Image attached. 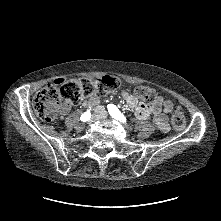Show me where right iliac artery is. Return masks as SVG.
Instances as JSON below:
<instances>
[{
	"label": "right iliac artery",
	"mask_w": 221,
	"mask_h": 221,
	"mask_svg": "<svg viewBox=\"0 0 221 221\" xmlns=\"http://www.w3.org/2000/svg\"><path fill=\"white\" fill-rule=\"evenodd\" d=\"M90 117H91V114H90V111L88 110L81 115L80 119L81 121L86 122L90 119Z\"/></svg>",
	"instance_id": "obj_1"
}]
</instances>
